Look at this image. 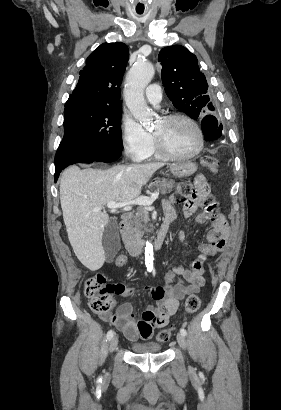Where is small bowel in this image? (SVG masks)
<instances>
[{"instance_id": "c3829d8e", "label": "small bowel", "mask_w": 281, "mask_h": 410, "mask_svg": "<svg viewBox=\"0 0 281 410\" xmlns=\"http://www.w3.org/2000/svg\"><path fill=\"white\" fill-rule=\"evenodd\" d=\"M210 194V185L207 179L198 175L195 179V190L189 196L180 193L163 201L165 214L164 224L168 226L176 218V204H182L186 218H190L200 204V198ZM198 225L210 224L212 229L207 235V241L199 245V255L191 263L189 268L178 264L170 268L165 274L164 284L153 288L136 290L128 288L124 284H117L116 295L135 297L141 293H147L155 301L154 305H148L143 312L142 319H134L133 307L130 303H123L112 316H104L109 319L130 341L149 340L155 328L165 326L169 319L176 313L179 303L187 295L197 292L205 283L204 261L208 256H215L223 252L229 228L222 216L211 217L206 213H200L193 222ZM181 242L185 241V233H179Z\"/></svg>"}]
</instances>
